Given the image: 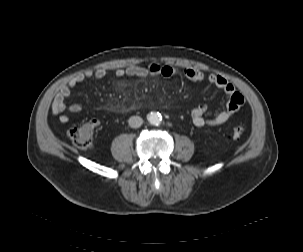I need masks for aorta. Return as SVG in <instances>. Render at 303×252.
Masks as SVG:
<instances>
[{
    "mask_svg": "<svg viewBox=\"0 0 303 252\" xmlns=\"http://www.w3.org/2000/svg\"><path fill=\"white\" fill-rule=\"evenodd\" d=\"M147 119L151 125L158 126L161 124L162 116L158 112H151L148 114Z\"/></svg>",
    "mask_w": 303,
    "mask_h": 252,
    "instance_id": "762f6f07",
    "label": "aorta"
}]
</instances>
